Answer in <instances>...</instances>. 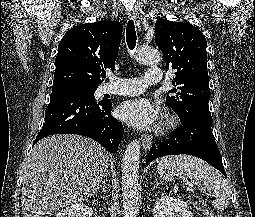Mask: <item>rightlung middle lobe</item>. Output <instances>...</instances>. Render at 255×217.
<instances>
[{
  "label": "right lung middle lobe",
  "instance_id": "obj_1",
  "mask_svg": "<svg viewBox=\"0 0 255 217\" xmlns=\"http://www.w3.org/2000/svg\"><path fill=\"white\" fill-rule=\"evenodd\" d=\"M96 89L97 87L70 84V85L54 87L52 92L53 91H69V92H75V93H82L86 95L87 97L95 100L94 93Z\"/></svg>",
  "mask_w": 255,
  "mask_h": 217
}]
</instances>
